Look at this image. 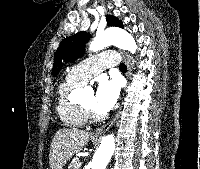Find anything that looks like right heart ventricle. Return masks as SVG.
Segmentation results:
<instances>
[{"mask_svg":"<svg viewBox=\"0 0 200 169\" xmlns=\"http://www.w3.org/2000/svg\"><path fill=\"white\" fill-rule=\"evenodd\" d=\"M82 84L68 77L58 87L57 114L61 122L69 128H81L88 122V116L84 107L71 100L72 91Z\"/></svg>","mask_w":200,"mask_h":169,"instance_id":"right-heart-ventricle-1","label":"right heart ventricle"}]
</instances>
